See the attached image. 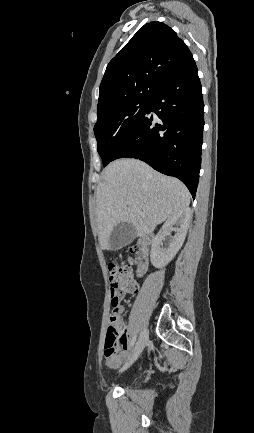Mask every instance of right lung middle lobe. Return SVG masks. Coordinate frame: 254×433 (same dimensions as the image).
Segmentation results:
<instances>
[{
  "label": "right lung middle lobe",
  "mask_w": 254,
  "mask_h": 433,
  "mask_svg": "<svg viewBox=\"0 0 254 433\" xmlns=\"http://www.w3.org/2000/svg\"><path fill=\"white\" fill-rule=\"evenodd\" d=\"M151 99H131L97 111L94 134L103 166L108 165L121 143L146 113Z\"/></svg>",
  "instance_id": "right-lung-middle-lobe-1"
}]
</instances>
